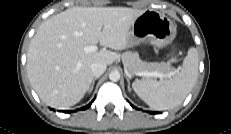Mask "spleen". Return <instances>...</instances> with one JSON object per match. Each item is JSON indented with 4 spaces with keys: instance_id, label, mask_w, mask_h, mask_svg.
<instances>
[{
    "instance_id": "1",
    "label": "spleen",
    "mask_w": 231,
    "mask_h": 134,
    "mask_svg": "<svg viewBox=\"0 0 231 134\" xmlns=\"http://www.w3.org/2000/svg\"><path fill=\"white\" fill-rule=\"evenodd\" d=\"M198 66V51L191 47L177 75L159 81L150 78L136 80L132 88L152 109L169 110L180 105L192 90L198 77Z\"/></svg>"
}]
</instances>
